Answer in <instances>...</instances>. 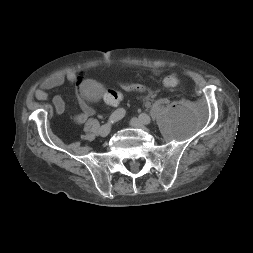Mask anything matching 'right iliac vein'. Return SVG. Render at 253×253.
Wrapping results in <instances>:
<instances>
[{
  "label": "right iliac vein",
  "mask_w": 253,
  "mask_h": 253,
  "mask_svg": "<svg viewBox=\"0 0 253 253\" xmlns=\"http://www.w3.org/2000/svg\"><path fill=\"white\" fill-rule=\"evenodd\" d=\"M112 125L107 123L100 128V135L106 137L111 131Z\"/></svg>",
  "instance_id": "63e3f726"
}]
</instances>
